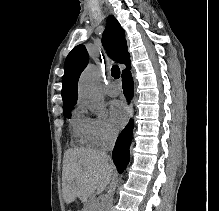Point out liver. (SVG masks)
Wrapping results in <instances>:
<instances>
[{"label": "liver", "instance_id": "1", "mask_svg": "<svg viewBox=\"0 0 219 211\" xmlns=\"http://www.w3.org/2000/svg\"><path fill=\"white\" fill-rule=\"evenodd\" d=\"M112 159L101 151L87 147H69L65 151L62 171L63 197L72 203L76 197L87 203L95 189H105L112 179Z\"/></svg>", "mask_w": 219, "mask_h": 211}]
</instances>
